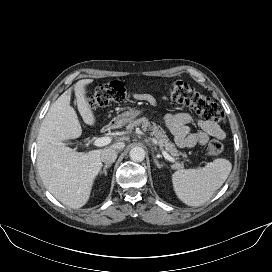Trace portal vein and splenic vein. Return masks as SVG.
Returning a JSON list of instances; mask_svg holds the SVG:
<instances>
[{
    "mask_svg": "<svg viewBox=\"0 0 272 272\" xmlns=\"http://www.w3.org/2000/svg\"><path fill=\"white\" fill-rule=\"evenodd\" d=\"M111 140L112 139L110 137L105 136L101 138H96L93 143L97 147H102L111 143ZM162 154L165 157V159L169 160L170 162H175V159L171 157L166 151H162Z\"/></svg>",
    "mask_w": 272,
    "mask_h": 272,
    "instance_id": "1",
    "label": "portal vein and splenic vein"
}]
</instances>
